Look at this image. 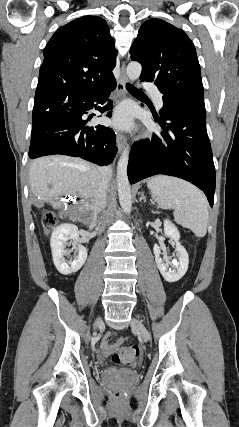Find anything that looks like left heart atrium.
<instances>
[{
    "label": "left heart atrium",
    "instance_id": "obj_1",
    "mask_svg": "<svg viewBox=\"0 0 239 427\" xmlns=\"http://www.w3.org/2000/svg\"><path fill=\"white\" fill-rule=\"evenodd\" d=\"M112 123L117 128L126 129L132 123V110L128 105L120 106L114 113Z\"/></svg>",
    "mask_w": 239,
    "mask_h": 427
}]
</instances>
